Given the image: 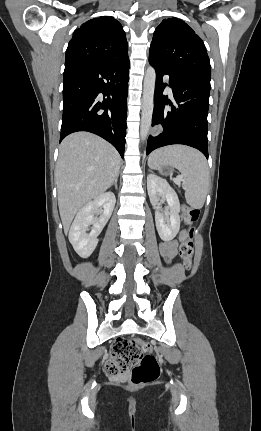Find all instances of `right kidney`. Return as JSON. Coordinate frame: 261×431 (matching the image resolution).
<instances>
[{
	"instance_id": "ca27d5eb",
	"label": "right kidney",
	"mask_w": 261,
	"mask_h": 431,
	"mask_svg": "<svg viewBox=\"0 0 261 431\" xmlns=\"http://www.w3.org/2000/svg\"><path fill=\"white\" fill-rule=\"evenodd\" d=\"M116 203L112 192L103 193L85 204L77 213L70 231L69 241L82 258H88L98 244V236L112 215ZM99 214V217H95ZM93 225L91 231L89 226Z\"/></svg>"
}]
</instances>
